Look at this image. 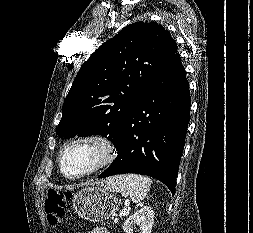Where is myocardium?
<instances>
[{
    "mask_svg": "<svg viewBox=\"0 0 253 233\" xmlns=\"http://www.w3.org/2000/svg\"><path fill=\"white\" fill-rule=\"evenodd\" d=\"M81 145H90L97 148L99 156L95 163L84 172L70 175L64 170L63 159L65 154L73 147ZM118 156V147L115 141L108 135L103 133H92L85 136L75 138L68 142L59 152L57 157L58 168L61 174L69 180H78L87 177L102 168L111 165Z\"/></svg>",
    "mask_w": 253,
    "mask_h": 233,
    "instance_id": "1",
    "label": "myocardium"
}]
</instances>
